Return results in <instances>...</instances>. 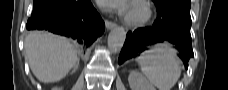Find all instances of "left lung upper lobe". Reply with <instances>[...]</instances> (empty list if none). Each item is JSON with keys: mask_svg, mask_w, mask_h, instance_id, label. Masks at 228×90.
Returning <instances> with one entry per match:
<instances>
[{"mask_svg": "<svg viewBox=\"0 0 228 90\" xmlns=\"http://www.w3.org/2000/svg\"><path fill=\"white\" fill-rule=\"evenodd\" d=\"M157 13L172 14L177 17L190 13L191 0H153Z\"/></svg>", "mask_w": 228, "mask_h": 90, "instance_id": "5c2ea615", "label": "left lung upper lobe"}]
</instances>
